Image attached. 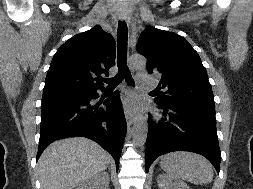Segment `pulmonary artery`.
I'll return each mask as SVG.
<instances>
[{"label":"pulmonary artery","mask_w":253,"mask_h":189,"mask_svg":"<svg viewBox=\"0 0 253 189\" xmlns=\"http://www.w3.org/2000/svg\"><path fill=\"white\" fill-rule=\"evenodd\" d=\"M137 80L142 87H151L154 85V79L149 74H140Z\"/></svg>","instance_id":"pulmonary-artery-1"}]
</instances>
